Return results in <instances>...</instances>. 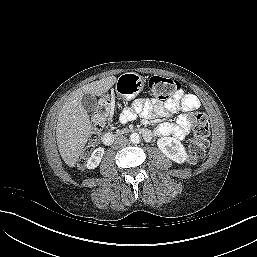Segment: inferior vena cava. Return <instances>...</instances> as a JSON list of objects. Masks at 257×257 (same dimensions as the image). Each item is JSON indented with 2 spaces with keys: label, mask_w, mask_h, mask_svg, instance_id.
I'll return each instance as SVG.
<instances>
[{
  "label": "inferior vena cava",
  "mask_w": 257,
  "mask_h": 257,
  "mask_svg": "<svg viewBox=\"0 0 257 257\" xmlns=\"http://www.w3.org/2000/svg\"><path fill=\"white\" fill-rule=\"evenodd\" d=\"M127 144H128V139L125 136H119L114 141L115 148H120V147L126 146Z\"/></svg>",
  "instance_id": "obj_1"
}]
</instances>
